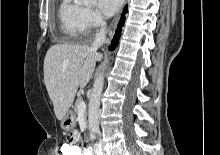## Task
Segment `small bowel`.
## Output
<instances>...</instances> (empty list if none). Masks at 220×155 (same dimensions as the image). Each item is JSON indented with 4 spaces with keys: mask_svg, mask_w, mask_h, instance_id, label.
Returning a JSON list of instances; mask_svg holds the SVG:
<instances>
[{
    "mask_svg": "<svg viewBox=\"0 0 220 155\" xmlns=\"http://www.w3.org/2000/svg\"><path fill=\"white\" fill-rule=\"evenodd\" d=\"M66 133L68 135L67 144H63L62 146H74L70 144H80V141L82 140L80 130H67ZM82 143L84 144L85 142L83 141ZM80 155H91V150L88 148L81 150Z\"/></svg>",
    "mask_w": 220,
    "mask_h": 155,
    "instance_id": "1",
    "label": "small bowel"
}]
</instances>
